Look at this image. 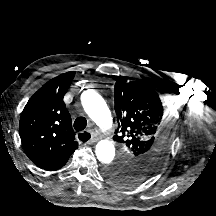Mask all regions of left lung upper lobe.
<instances>
[{"instance_id":"5c2ea615","label":"left lung upper lobe","mask_w":216,"mask_h":216,"mask_svg":"<svg viewBox=\"0 0 216 216\" xmlns=\"http://www.w3.org/2000/svg\"><path fill=\"white\" fill-rule=\"evenodd\" d=\"M149 81L120 80L114 99L118 129L114 140L122 144L118 160L104 168L113 184L130 186L152 176L164 162L172 140L175 118L162 106Z\"/></svg>"}]
</instances>
